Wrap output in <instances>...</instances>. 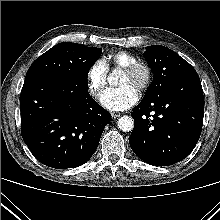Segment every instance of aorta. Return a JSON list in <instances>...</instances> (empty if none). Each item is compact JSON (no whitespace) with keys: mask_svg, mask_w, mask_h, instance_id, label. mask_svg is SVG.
<instances>
[{"mask_svg":"<svg viewBox=\"0 0 220 220\" xmlns=\"http://www.w3.org/2000/svg\"><path fill=\"white\" fill-rule=\"evenodd\" d=\"M118 74H119L118 70H114L112 73H110V75L107 78L110 85L117 84ZM117 126L123 132H129L134 127V120L132 117L124 115L118 119Z\"/></svg>","mask_w":220,"mask_h":220,"instance_id":"aorta-1","label":"aorta"}]
</instances>
